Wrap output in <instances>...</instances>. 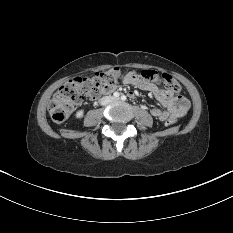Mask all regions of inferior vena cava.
Masks as SVG:
<instances>
[{
    "instance_id": "inferior-vena-cava-1",
    "label": "inferior vena cava",
    "mask_w": 233,
    "mask_h": 233,
    "mask_svg": "<svg viewBox=\"0 0 233 233\" xmlns=\"http://www.w3.org/2000/svg\"><path fill=\"white\" fill-rule=\"evenodd\" d=\"M112 100V97L111 96H105L101 99V104L102 105H106L108 104L110 101Z\"/></svg>"
}]
</instances>
